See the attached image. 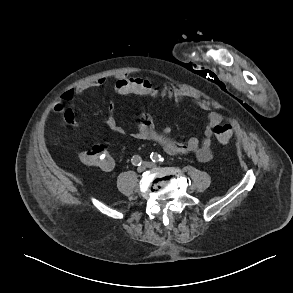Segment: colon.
I'll return each instance as SVG.
<instances>
[{
	"label": "colon",
	"instance_id": "colon-1",
	"mask_svg": "<svg viewBox=\"0 0 293 293\" xmlns=\"http://www.w3.org/2000/svg\"><path fill=\"white\" fill-rule=\"evenodd\" d=\"M214 135L220 143L226 144L231 139L232 128L229 124H219L214 127ZM112 159L109 149L102 143L92 145L80 155L83 164L101 169L109 167Z\"/></svg>",
	"mask_w": 293,
	"mask_h": 293
}]
</instances>
